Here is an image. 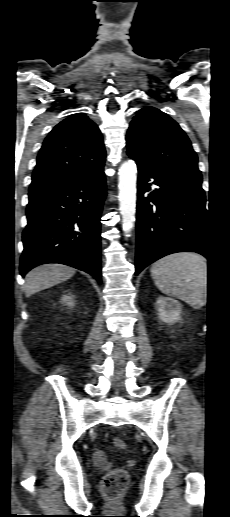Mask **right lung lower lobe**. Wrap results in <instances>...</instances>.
I'll list each match as a JSON object with an SVG mask.
<instances>
[{"mask_svg": "<svg viewBox=\"0 0 230 517\" xmlns=\"http://www.w3.org/2000/svg\"><path fill=\"white\" fill-rule=\"evenodd\" d=\"M105 197L103 169L75 182L29 192L21 275L40 264L61 263L101 283L100 218Z\"/></svg>", "mask_w": 230, "mask_h": 517, "instance_id": "98d812e1", "label": "right lung lower lobe"}]
</instances>
